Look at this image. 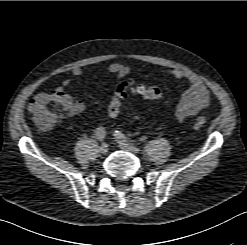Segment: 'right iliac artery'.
Here are the masks:
<instances>
[{
    "instance_id": "right-iliac-artery-1",
    "label": "right iliac artery",
    "mask_w": 247,
    "mask_h": 245,
    "mask_svg": "<svg viewBox=\"0 0 247 245\" xmlns=\"http://www.w3.org/2000/svg\"><path fill=\"white\" fill-rule=\"evenodd\" d=\"M95 134L98 139L102 140L106 136V131L103 127H99L96 129Z\"/></svg>"
}]
</instances>
